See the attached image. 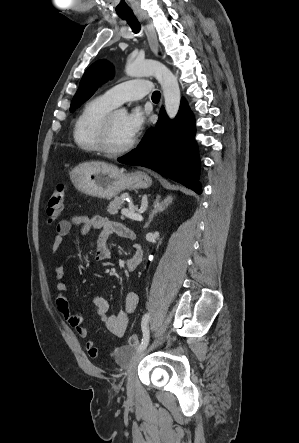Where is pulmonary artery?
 Instances as JSON below:
<instances>
[{
  "mask_svg": "<svg viewBox=\"0 0 299 443\" xmlns=\"http://www.w3.org/2000/svg\"><path fill=\"white\" fill-rule=\"evenodd\" d=\"M151 91V82L147 79H134L120 83L108 89L104 96L115 105L125 101L139 100Z\"/></svg>",
  "mask_w": 299,
  "mask_h": 443,
  "instance_id": "e3ab8cb5",
  "label": "pulmonary artery"
}]
</instances>
